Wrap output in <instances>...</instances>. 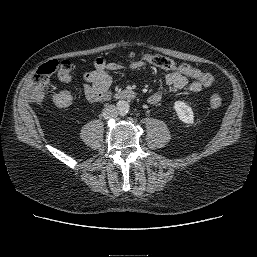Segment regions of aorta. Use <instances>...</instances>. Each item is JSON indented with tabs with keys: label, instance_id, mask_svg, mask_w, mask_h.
<instances>
[{
	"label": "aorta",
	"instance_id": "obj_1",
	"mask_svg": "<svg viewBox=\"0 0 257 257\" xmlns=\"http://www.w3.org/2000/svg\"><path fill=\"white\" fill-rule=\"evenodd\" d=\"M130 109V105L125 100H120L117 103V110L120 114H126Z\"/></svg>",
	"mask_w": 257,
	"mask_h": 257
}]
</instances>
